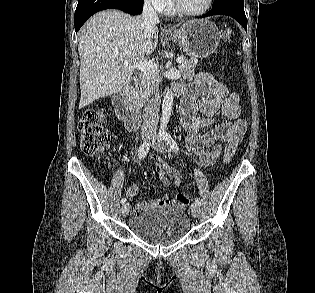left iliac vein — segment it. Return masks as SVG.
<instances>
[{
	"label": "left iliac vein",
	"instance_id": "1",
	"mask_svg": "<svg viewBox=\"0 0 315 293\" xmlns=\"http://www.w3.org/2000/svg\"><path fill=\"white\" fill-rule=\"evenodd\" d=\"M152 148L156 149L161 153H166L168 150L167 146L160 139H155L153 141ZM191 212L194 218H199L201 213L200 207L196 203H193L191 206Z\"/></svg>",
	"mask_w": 315,
	"mask_h": 293
}]
</instances>
